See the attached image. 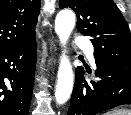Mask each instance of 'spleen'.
Masks as SVG:
<instances>
[{
	"instance_id": "1",
	"label": "spleen",
	"mask_w": 131,
	"mask_h": 115,
	"mask_svg": "<svg viewBox=\"0 0 131 115\" xmlns=\"http://www.w3.org/2000/svg\"><path fill=\"white\" fill-rule=\"evenodd\" d=\"M106 115H131V110L117 109L107 113Z\"/></svg>"
}]
</instances>
